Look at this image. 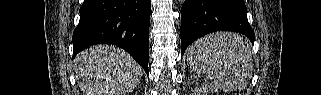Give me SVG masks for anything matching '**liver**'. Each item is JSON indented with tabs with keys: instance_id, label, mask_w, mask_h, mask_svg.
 <instances>
[{
	"instance_id": "6515ba94",
	"label": "liver",
	"mask_w": 321,
	"mask_h": 95,
	"mask_svg": "<svg viewBox=\"0 0 321 95\" xmlns=\"http://www.w3.org/2000/svg\"><path fill=\"white\" fill-rule=\"evenodd\" d=\"M76 78L84 95H127L140 83L142 68L121 48L93 46L77 55Z\"/></svg>"
}]
</instances>
